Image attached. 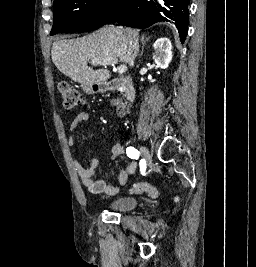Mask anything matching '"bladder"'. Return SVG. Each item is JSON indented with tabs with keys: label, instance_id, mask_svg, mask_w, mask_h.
<instances>
[{
	"label": "bladder",
	"instance_id": "obj_1",
	"mask_svg": "<svg viewBox=\"0 0 256 267\" xmlns=\"http://www.w3.org/2000/svg\"><path fill=\"white\" fill-rule=\"evenodd\" d=\"M139 204V199L131 196H115L111 197L106 203L100 206L112 212H128Z\"/></svg>",
	"mask_w": 256,
	"mask_h": 267
}]
</instances>
